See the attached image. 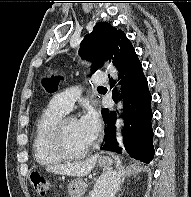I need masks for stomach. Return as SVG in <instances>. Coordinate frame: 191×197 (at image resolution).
I'll return each instance as SVG.
<instances>
[{"label": "stomach", "mask_w": 191, "mask_h": 197, "mask_svg": "<svg viewBox=\"0 0 191 197\" xmlns=\"http://www.w3.org/2000/svg\"><path fill=\"white\" fill-rule=\"evenodd\" d=\"M112 164V160L109 157H100L98 160V165L102 168H109ZM117 184L115 177H111L104 189V195L111 192ZM86 183L82 178H76L71 180L68 185V192L70 197H82L86 190Z\"/></svg>", "instance_id": "stomach-1"}]
</instances>
